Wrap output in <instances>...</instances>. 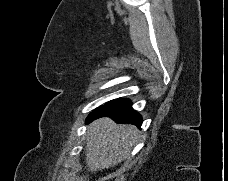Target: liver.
I'll return each instance as SVG.
<instances>
[{
    "label": "liver",
    "instance_id": "6515ba94",
    "mask_svg": "<svg viewBox=\"0 0 228 181\" xmlns=\"http://www.w3.org/2000/svg\"><path fill=\"white\" fill-rule=\"evenodd\" d=\"M138 129L134 125H117L109 117H102L88 125V139L85 147V163L88 171H102L117 167L127 159L131 147L138 139ZM79 177L76 181H86ZM89 181V179H88Z\"/></svg>",
    "mask_w": 228,
    "mask_h": 181
}]
</instances>
